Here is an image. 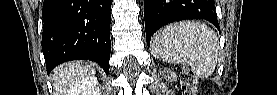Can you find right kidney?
Returning <instances> with one entry per match:
<instances>
[{
  "mask_svg": "<svg viewBox=\"0 0 277 95\" xmlns=\"http://www.w3.org/2000/svg\"><path fill=\"white\" fill-rule=\"evenodd\" d=\"M76 93L74 95H100L97 79L92 77H86L82 79L76 87Z\"/></svg>",
  "mask_w": 277,
  "mask_h": 95,
  "instance_id": "1",
  "label": "right kidney"
}]
</instances>
